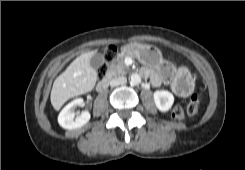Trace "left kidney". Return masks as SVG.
Returning <instances> with one entry per match:
<instances>
[{
    "label": "left kidney",
    "mask_w": 245,
    "mask_h": 170,
    "mask_svg": "<svg viewBox=\"0 0 245 170\" xmlns=\"http://www.w3.org/2000/svg\"><path fill=\"white\" fill-rule=\"evenodd\" d=\"M156 107L161 112H167L174 103V96L167 90H157L153 94Z\"/></svg>",
    "instance_id": "left-kidney-1"
}]
</instances>
